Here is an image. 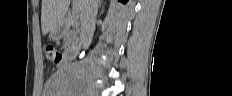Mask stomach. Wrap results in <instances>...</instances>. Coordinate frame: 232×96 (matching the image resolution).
<instances>
[{"label":"stomach","mask_w":232,"mask_h":96,"mask_svg":"<svg viewBox=\"0 0 232 96\" xmlns=\"http://www.w3.org/2000/svg\"><path fill=\"white\" fill-rule=\"evenodd\" d=\"M51 37H52L53 39H58V38L61 37V35L57 32V33H52V34H51Z\"/></svg>","instance_id":"obj_1"}]
</instances>
